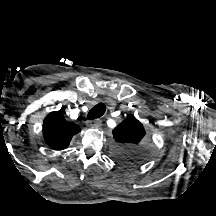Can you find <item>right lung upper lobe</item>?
<instances>
[{"label": "right lung upper lobe", "instance_id": "cb5924a9", "mask_svg": "<svg viewBox=\"0 0 216 216\" xmlns=\"http://www.w3.org/2000/svg\"><path fill=\"white\" fill-rule=\"evenodd\" d=\"M80 131L79 126L65 120L61 110L49 113L43 122L44 139L54 150L67 148L72 137Z\"/></svg>", "mask_w": 216, "mask_h": 216}]
</instances>
